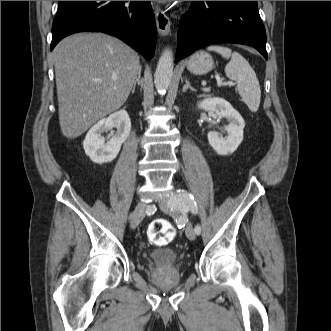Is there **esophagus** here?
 Segmentation results:
<instances>
[{
	"mask_svg": "<svg viewBox=\"0 0 331 331\" xmlns=\"http://www.w3.org/2000/svg\"><path fill=\"white\" fill-rule=\"evenodd\" d=\"M155 18L157 30L162 36H166L170 33L171 22L165 12L159 7L155 6Z\"/></svg>",
	"mask_w": 331,
	"mask_h": 331,
	"instance_id": "esophagus-1",
	"label": "esophagus"
}]
</instances>
